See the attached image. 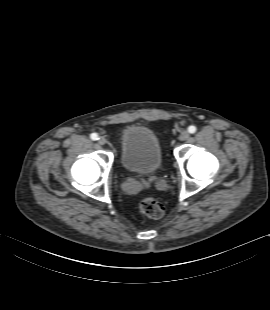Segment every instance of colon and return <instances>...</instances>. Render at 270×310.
<instances>
[{
    "label": "colon",
    "instance_id": "obj_1",
    "mask_svg": "<svg viewBox=\"0 0 270 310\" xmlns=\"http://www.w3.org/2000/svg\"><path fill=\"white\" fill-rule=\"evenodd\" d=\"M140 211L154 219L161 218L164 215V206L162 203L153 197L144 198L139 205Z\"/></svg>",
    "mask_w": 270,
    "mask_h": 310
}]
</instances>
